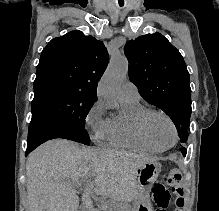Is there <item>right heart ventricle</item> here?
<instances>
[{
  "mask_svg": "<svg viewBox=\"0 0 219 211\" xmlns=\"http://www.w3.org/2000/svg\"><path fill=\"white\" fill-rule=\"evenodd\" d=\"M122 111L111 117L109 143L128 150L157 153L160 150L148 144L140 135L136 125L139 112L145 107L138 102L121 101Z\"/></svg>",
  "mask_w": 219,
  "mask_h": 211,
  "instance_id": "obj_1",
  "label": "right heart ventricle"
}]
</instances>
